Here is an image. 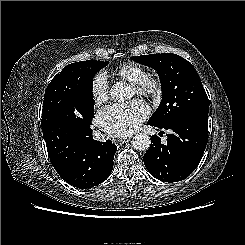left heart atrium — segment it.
<instances>
[{"instance_id":"1","label":"left heart atrium","mask_w":245,"mask_h":245,"mask_svg":"<svg viewBox=\"0 0 245 245\" xmlns=\"http://www.w3.org/2000/svg\"><path fill=\"white\" fill-rule=\"evenodd\" d=\"M148 114L149 109L146 104L135 99L126 104H113L103 109L98 119L110 134L126 136L137 129Z\"/></svg>"}]
</instances>
